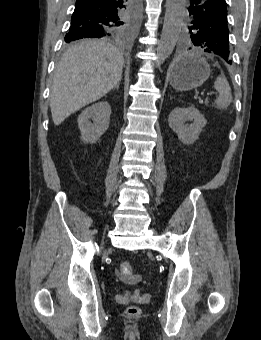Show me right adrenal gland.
Here are the masks:
<instances>
[{
    "mask_svg": "<svg viewBox=\"0 0 261 340\" xmlns=\"http://www.w3.org/2000/svg\"><path fill=\"white\" fill-rule=\"evenodd\" d=\"M120 86V82L115 86V89L118 90Z\"/></svg>",
    "mask_w": 261,
    "mask_h": 340,
    "instance_id": "right-adrenal-gland-1",
    "label": "right adrenal gland"
}]
</instances>
